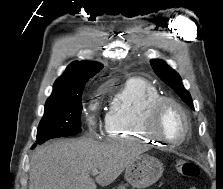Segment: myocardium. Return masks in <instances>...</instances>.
Returning <instances> with one entry per match:
<instances>
[{"instance_id":"myocardium-1","label":"myocardium","mask_w":223,"mask_h":189,"mask_svg":"<svg viewBox=\"0 0 223 189\" xmlns=\"http://www.w3.org/2000/svg\"><path fill=\"white\" fill-rule=\"evenodd\" d=\"M167 104H170L178 109L185 122L184 135L176 142H170L162 137L157 128L159 115ZM142 129L146 135L157 140L158 142L164 143L168 147H178L184 143L191 134V120L187 110L179 101L169 96H159L148 105L143 116Z\"/></svg>"}]
</instances>
